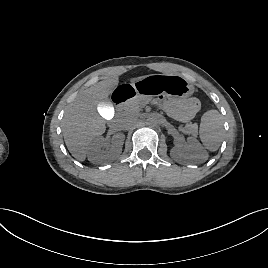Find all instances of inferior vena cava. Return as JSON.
I'll list each match as a JSON object with an SVG mask.
<instances>
[{
	"label": "inferior vena cava",
	"instance_id": "obj_1",
	"mask_svg": "<svg viewBox=\"0 0 268 268\" xmlns=\"http://www.w3.org/2000/svg\"><path fill=\"white\" fill-rule=\"evenodd\" d=\"M137 120V116L135 114H126L119 120V124L123 129L129 128L132 126Z\"/></svg>",
	"mask_w": 268,
	"mask_h": 268
}]
</instances>
